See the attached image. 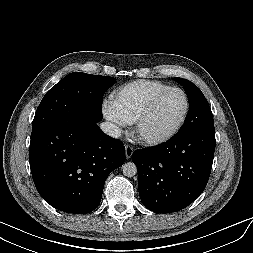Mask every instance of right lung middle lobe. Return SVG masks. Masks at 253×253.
<instances>
[{"instance_id":"1","label":"right lung middle lobe","mask_w":253,"mask_h":253,"mask_svg":"<svg viewBox=\"0 0 253 253\" xmlns=\"http://www.w3.org/2000/svg\"><path fill=\"white\" fill-rule=\"evenodd\" d=\"M115 78L73 72L53 86L39 104L32 131L71 120L99 122L104 92Z\"/></svg>"}]
</instances>
